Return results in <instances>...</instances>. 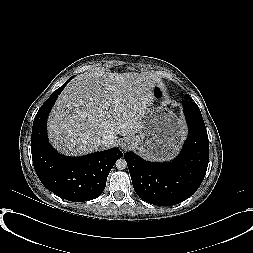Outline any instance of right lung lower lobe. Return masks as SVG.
<instances>
[{
	"mask_svg": "<svg viewBox=\"0 0 253 253\" xmlns=\"http://www.w3.org/2000/svg\"><path fill=\"white\" fill-rule=\"evenodd\" d=\"M70 79L53 92L38 110L32 128L31 153L35 171L48 190L66 200L82 202L102 194L110 170L123 154L119 149L112 148L71 158L52 148L46 130L48 114Z\"/></svg>",
	"mask_w": 253,
	"mask_h": 253,
	"instance_id": "right-lung-lower-lobe-1",
	"label": "right lung lower lobe"
}]
</instances>
